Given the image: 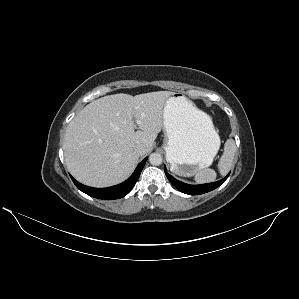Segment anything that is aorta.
<instances>
[{
	"mask_svg": "<svg viewBox=\"0 0 299 299\" xmlns=\"http://www.w3.org/2000/svg\"><path fill=\"white\" fill-rule=\"evenodd\" d=\"M149 162L152 165H160L162 163V156L159 153H152L149 157Z\"/></svg>",
	"mask_w": 299,
	"mask_h": 299,
	"instance_id": "762f6f07",
	"label": "aorta"
}]
</instances>
